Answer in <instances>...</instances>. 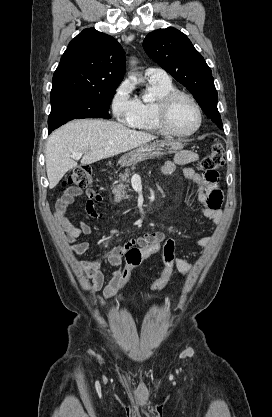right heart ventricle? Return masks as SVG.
<instances>
[{
  "instance_id": "1",
  "label": "right heart ventricle",
  "mask_w": 272,
  "mask_h": 417,
  "mask_svg": "<svg viewBox=\"0 0 272 417\" xmlns=\"http://www.w3.org/2000/svg\"><path fill=\"white\" fill-rule=\"evenodd\" d=\"M176 90L171 80H148L145 95L137 99V111L130 127L138 130L163 134L156 118V107L166 94Z\"/></svg>"
}]
</instances>
